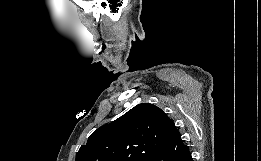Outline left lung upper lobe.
I'll list each match as a JSON object with an SVG mask.
<instances>
[{"label": "left lung upper lobe", "mask_w": 261, "mask_h": 161, "mask_svg": "<svg viewBox=\"0 0 261 161\" xmlns=\"http://www.w3.org/2000/svg\"><path fill=\"white\" fill-rule=\"evenodd\" d=\"M176 131L159 107L141 103L98 128L80 147L76 161H149L155 149L168 144Z\"/></svg>", "instance_id": "5c2ea615"}]
</instances>
